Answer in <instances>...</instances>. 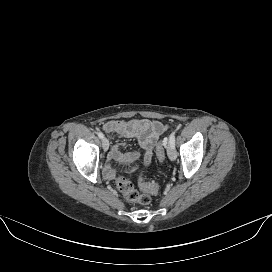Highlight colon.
Returning a JSON list of instances; mask_svg holds the SVG:
<instances>
[{"mask_svg": "<svg viewBox=\"0 0 272 272\" xmlns=\"http://www.w3.org/2000/svg\"><path fill=\"white\" fill-rule=\"evenodd\" d=\"M156 157L160 162L165 159V144L161 143L156 148ZM116 187L121 192L123 197L129 202H135L139 204H149L151 202V195L158 191V185L156 183L146 182L142 177L139 178V187L143 191L138 192L131 181L127 178L120 176L115 181Z\"/></svg>", "mask_w": 272, "mask_h": 272, "instance_id": "1", "label": "colon"}]
</instances>
